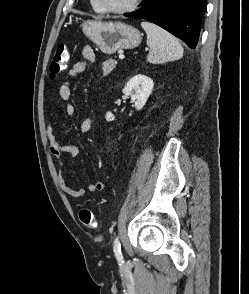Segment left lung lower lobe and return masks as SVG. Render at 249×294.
Wrapping results in <instances>:
<instances>
[{
	"label": "left lung lower lobe",
	"instance_id": "1",
	"mask_svg": "<svg viewBox=\"0 0 249 294\" xmlns=\"http://www.w3.org/2000/svg\"><path fill=\"white\" fill-rule=\"evenodd\" d=\"M206 1L144 0L141 9L125 16L153 22L185 41L190 48H195Z\"/></svg>",
	"mask_w": 249,
	"mask_h": 294
}]
</instances>
